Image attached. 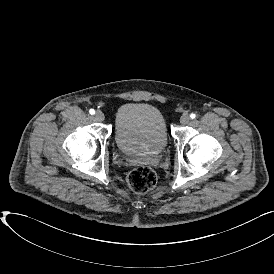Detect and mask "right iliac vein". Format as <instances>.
<instances>
[{
	"instance_id": "63e3f726",
	"label": "right iliac vein",
	"mask_w": 274,
	"mask_h": 274,
	"mask_svg": "<svg viewBox=\"0 0 274 274\" xmlns=\"http://www.w3.org/2000/svg\"><path fill=\"white\" fill-rule=\"evenodd\" d=\"M95 119L97 121H103L105 119V115L103 114L102 111H97L96 114H95Z\"/></svg>"
}]
</instances>
